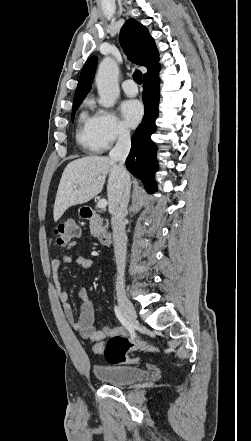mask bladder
<instances>
[{
	"instance_id": "1",
	"label": "bladder",
	"mask_w": 251,
	"mask_h": 441,
	"mask_svg": "<svg viewBox=\"0 0 251 441\" xmlns=\"http://www.w3.org/2000/svg\"><path fill=\"white\" fill-rule=\"evenodd\" d=\"M94 376L101 382L112 386H124L143 378L141 368L126 365L96 364L92 367Z\"/></svg>"
}]
</instances>
